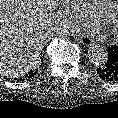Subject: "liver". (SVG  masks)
<instances>
[{
  "instance_id": "6515ba94",
  "label": "liver",
  "mask_w": 118,
  "mask_h": 118,
  "mask_svg": "<svg viewBox=\"0 0 118 118\" xmlns=\"http://www.w3.org/2000/svg\"><path fill=\"white\" fill-rule=\"evenodd\" d=\"M65 1L62 6H67ZM56 0H0V74L18 77L37 61L66 12Z\"/></svg>"
}]
</instances>
